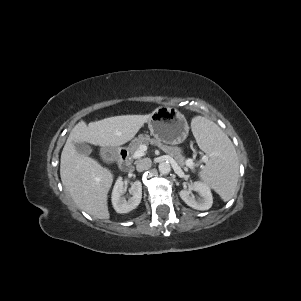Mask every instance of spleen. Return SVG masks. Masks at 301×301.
Masks as SVG:
<instances>
[{
    "label": "spleen",
    "instance_id": "1",
    "mask_svg": "<svg viewBox=\"0 0 301 301\" xmlns=\"http://www.w3.org/2000/svg\"><path fill=\"white\" fill-rule=\"evenodd\" d=\"M191 126L200 148L209 156L199 174L201 180L223 201L230 200L235 193L239 173V162L231 140L218 125L205 117L193 118Z\"/></svg>",
    "mask_w": 301,
    "mask_h": 301
}]
</instances>
